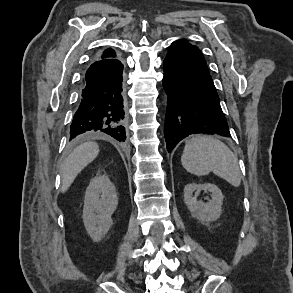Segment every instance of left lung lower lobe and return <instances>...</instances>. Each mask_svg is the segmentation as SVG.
Wrapping results in <instances>:
<instances>
[{
    "label": "left lung lower lobe",
    "mask_w": 293,
    "mask_h": 293,
    "mask_svg": "<svg viewBox=\"0 0 293 293\" xmlns=\"http://www.w3.org/2000/svg\"><path fill=\"white\" fill-rule=\"evenodd\" d=\"M163 67L162 83L168 94L164 130L168 152L191 134L230 137L214 83L194 63L182 40L172 43Z\"/></svg>",
    "instance_id": "1"
}]
</instances>
